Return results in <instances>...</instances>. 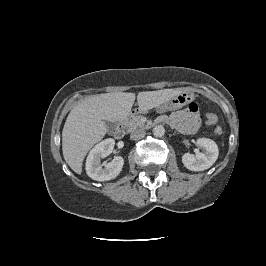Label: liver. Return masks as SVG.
<instances>
[{"label":"liver","instance_id":"1","mask_svg":"<svg viewBox=\"0 0 266 266\" xmlns=\"http://www.w3.org/2000/svg\"><path fill=\"white\" fill-rule=\"evenodd\" d=\"M183 89H163L139 92V111L158 107ZM135 94L113 92L87 97L69 113L62 131V151L66 163L77 174L82 172L83 160L88 151L107 133L105 121L117 122L131 114Z\"/></svg>","mask_w":266,"mask_h":266}]
</instances>
